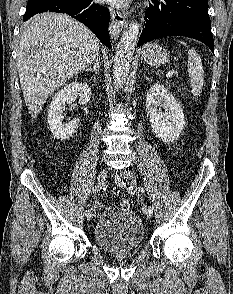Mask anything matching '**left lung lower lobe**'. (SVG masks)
I'll list each match as a JSON object with an SVG mask.
<instances>
[{"mask_svg": "<svg viewBox=\"0 0 233 294\" xmlns=\"http://www.w3.org/2000/svg\"><path fill=\"white\" fill-rule=\"evenodd\" d=\"M138 46L166 36H185L206 44L214 53L208 0H151Z\"/></svg>", "mask_w": 233, "mask_h": 294, "instance_id": "1", "label": "left lung lower lobe"}]
</instances>
